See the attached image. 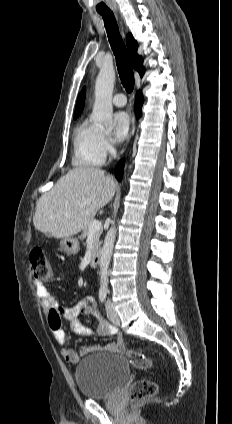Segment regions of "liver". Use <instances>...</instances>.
I'll return each instance as SVG.
<instances>
[{"mask_svg":"<svg viewBox=\"0 0 232 424\" xmlns=\"http://www.w3.org/2000/svg\"><path fill=\"white\" fill-rule=\"evenodd\" d=\"M112 176L95 167H77L61 177L36 205L34 227L55 238L70 237L84 230L97 211L115 195Z\"/></svg>","mask_w":232,"mask_h":424,"instance_id":"6515ba94","label":"liver"}]
</instances>
